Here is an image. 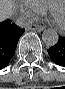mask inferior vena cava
<instances>
[{"label": "inferior vena cava", "instance_id": "obj_1", "mask_svg": "<svg viewBox=\"0 0 65 89\" xmlns=\"http://www.w3.org/2000/svg\"><path fill=\"white\" fill-rule=\"evenodd\" d=\"M15 23L20 28H29L32 25V21L24 16H20L19 18H17Z\"/></svg>", "mask_w": 65, "mask_h": 89}]
</instances>
